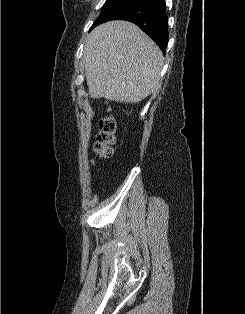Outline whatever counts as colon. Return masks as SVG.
I'll list each match as a JSON object with an SVG mask.
<instances>
[{
    "mask_svg": "<svg viewBox=\"0 0 245 314\" xmlns=\"http://www.w3.org/2000/svg\"><path fill=\"white\" fill-rule=\"evenodd\" d=\"M115 120L107 114L100 121V131L96 137L95 151L99 160L110 158L113 154Z\"/></svg>",
    "mask_w": 245,
    "mask_h": 314,
    "instance_id": "colon-1",
    "label": "colon"
}]
</instances>
